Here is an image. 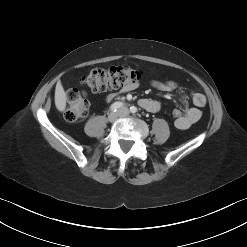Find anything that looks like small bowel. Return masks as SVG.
Returning a JSON list of instances; mask_svg holds the SVG:
<instances>
[{"instance_id":"obj_1","label":"small bowel","mask_w":247,"mask_h":247,"mask_svg":"<svg viewBox=\"0 0 247 247\" xmlns=\"http://www.w3.org/2000/svg\"><path fill=\"white\" fill-rule=\"evenodd\" d=\"M151 85L163 92H172L178 88L177 84L173 81H158L153 80ZM138 87V84H132L121 89L119 93H127ZM119 93H112L107 96V100L114 99ZM191 101L193 106L186 107L185 113L177 120H175V126L178 129L185 130L196 123L202 115L201 108L206 104V97L199 92H193L191 94ZM185 103V101H184ZM140 106L149 112H158L161 108V104L157 100L144 98L139 101Z\"/></svg>"}]
</instances>
